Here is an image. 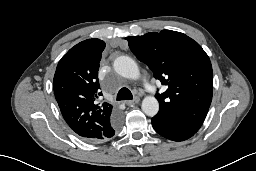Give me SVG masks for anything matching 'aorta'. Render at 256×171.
<instances>
[{
	"label": "aorta",
	"instance_id": "762f6f07",
	"mask_svg": "<svg viewBox=\"0 0 256 171\" xmlns=\"http://www.w3.org/2000/svg\"><path fill=\"white\" fill-rule=\"evenodd\" d=\"M113 66L114 70L125 78L137 79L140 76L137 63L129 56L117 57ZM141 108L147 116L153 117L158 113L159 102L154 96H146L142 101Z\"/></svg>",
	"mask_w": 256,
	"mask_h": 171
}]
</instances>
